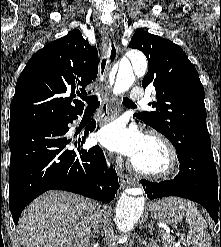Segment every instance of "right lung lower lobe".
I'll list each match as a JSON object with an SVG mask.
<instances>
[{
	"label": "right lung lower lobe",
	"instance_id": "right-lung-lower-lobe-1",
	"mask_svg": "<svg viewBox=\"0 0 221 247\" xmlns=\"http://www.w3.org/2000/svg\"><path fill=\"white\" fill-rule=\"evenodd\" d=\"M22 123L9 126L11 161L9 168V205L15 224L23 209L43 192L66 190L99 201L110 202L119 188L113 168L107 171L99 146L80 149L85 142H74L64 135L68 123ZM92 121L85 135L94 131Z\"/></svg>",
	"mask_w": 221,
	"mask_h": 247
}]
</instances>
